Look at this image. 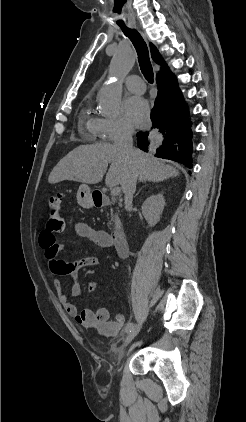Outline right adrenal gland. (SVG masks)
<instances>
[{
    "mask_svg": "<svg viewBox=\"0 0 246 422\" xmlns=\"http://www.w3.org/2000/svg\"><path fill=\"white\" fill-rule=\"evenodd\" d=\"M140 191V190H139ZM139 191L135 194V197L139 194Z\"/></svg>",
    "mask_w": 246,
    "mask_h": 422,
    "instance_id": "1",
    "label": "right adrenal gland"
}]
</instances>
